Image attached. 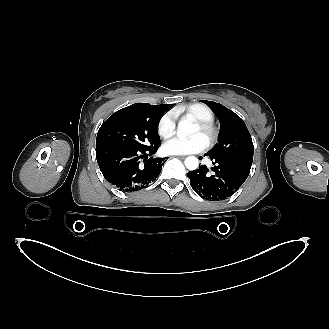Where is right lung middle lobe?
<instances>
[{
    "mask_svg": "<svg viewBox=\"0 0 329 329\" xmlns=\"http://www.w3.org/2000/svg\"><path fill=\"white\" fill-rule=\"evenodd\" d=\"M171 106L140 103L131 112L107 119L98 131L96 147L119 145L145 149L160 143L158 124Z\"/></svg>",
    "mask_w": 329,
    "mask_h": 329,
    "instance_id": "obj_1",
    "label": "right lung middle lobe"
}]
</instances>
